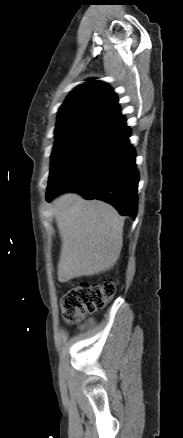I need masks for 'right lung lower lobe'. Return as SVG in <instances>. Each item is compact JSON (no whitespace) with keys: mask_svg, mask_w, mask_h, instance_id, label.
<instances>
[{"mask_svg":"<svg viewBox=\"0 0 183 438\" xmlns=\"http://www.w3.org/2000/svg\"><path fill=\"white\" fill-rule=\"evenodd\" d=\"M119 117L97 130L74 158L48 184L46 199L66 191L113 205L121 215L137 214L139 172L130 129Z\"/></svg>","mask_w":183,"mask_h":438,"instance_id":"1","label":"right lung lower lobe"}]
</instances>
